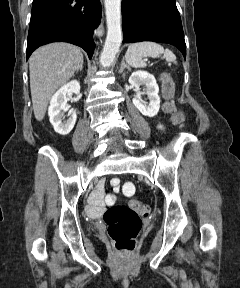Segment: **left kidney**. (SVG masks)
I'll return each mask as SVG.
<instances>
[{
    "label": "left kidney",
    "instance_id": "5707ae66",
    "mask_svg": "<svg viewBox=\"0 0 240 288\" xmlns=\"http://www.w3.org/2000/svg\"><path fill=\"white\" fill-rule=\"evenodd\" d=\"M129 83L135 87L137 94L133 98V104L135 107L147 117H154L157 115L160 109V97H159V87L156 83V79L153 75L146 71H135L129 77ZM141 85L145 88L142 94H146L149 99V104H143L141 94L138 89Z\"/></svg>",
    "mask_w": 240,
    "mask_h": 288
}]
</instances>
